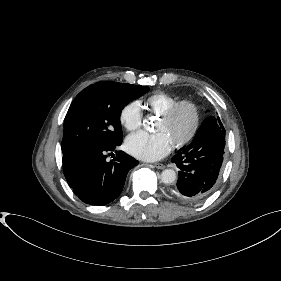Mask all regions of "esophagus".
<instances>
[{"mask_svg": "<svg viewBox=\"0 0 281 281\" xmlns=\"http://www.w3.org/2000/svg\"><path fill=\"white\" fill-rule=\"evenodd\" d=\"M154 167L157 168V169H164L165 168V166L161 163L154 164Z\"/></svg>", "mask_w": 281, "mask_h": 281, "instance_id": "34e87169", "label": "esophagus"}]
</instances>
